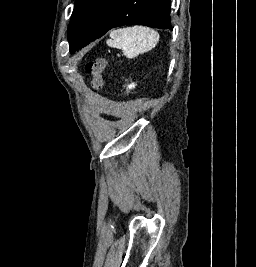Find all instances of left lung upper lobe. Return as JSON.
Instances as JSON below:
<instances>
[{
	"label": "left lung upper lobe",
	"instance_id": "1",
	"mask_svg": "<svg viewBox=\"0 0 256 267\" xmlns=\"http://www.w3.org/2000/svg\"><path fill=\"white\" fill-rule=\"evenodd\" d=\"M123 25L172 30L170 0H75L68 27L70 53Z\"/></svg>",
	"mask_w": 256,
	"mask_h": 267
}]
</instances>
